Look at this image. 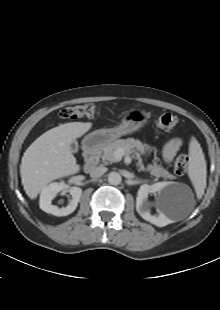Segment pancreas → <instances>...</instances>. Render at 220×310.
<instances>
[{
	"instance_id": "obj_1",
	"label": "pancreas",
	"mask_w": 220,
	"mask_h": 310,
	"mask_svg": "<svg viewBox=\"0 0 220 310\" xmlns=\"http://www.w3.org/2000/svg\"><path fill=\"white\" fill-rule=\"evenodd\" d=\"M119 148L124 149L126 152L137 150L140 152V154H144L145 150L148 149L149 146L134 138L116 140L103 147V152L101 154L103 162L105 164H108L120 161L121 159L115 156V152ZM146 171H149L150 174L155 177H163L164 179L174 178L172 174H170L166 169H164L161 165H158L157 163H154L153 165H147Z\"/></svg>"
}]
</instances>
